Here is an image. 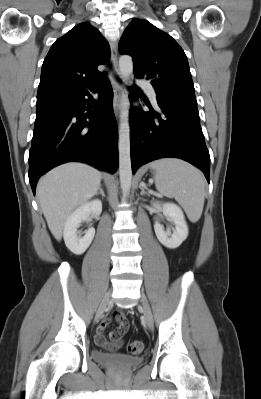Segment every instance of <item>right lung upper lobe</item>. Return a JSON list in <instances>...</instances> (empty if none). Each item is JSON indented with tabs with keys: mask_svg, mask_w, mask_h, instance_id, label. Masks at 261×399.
<instances>
[{
	"mask_svg": "<svg viewBox=\"0 0 261 399\" xmlns=\"http://www.w3.org/2000/svg\"><path fill=\"white\" fill-rule=\"evenodd\" d=\"M110 56L108 42L89 23L84 22L51 46L42 65L37 103L87 88L104 75L97 66Z\"/></svg>",
	"mask_w": 261,
	"mask_h": 399,
	"instance_id": "1",
	"label": "right lung upper lobe"
}]
</instances>
